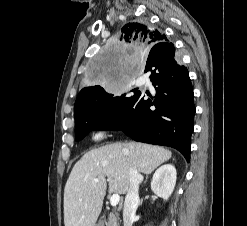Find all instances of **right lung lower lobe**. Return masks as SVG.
I'll use <instances>...</instances> for the list:
<instances>
[{
    "instance_id": "1",
    "label": "right lung lower lobe",
    "mask_w": 247,
    "mask_h": 226,
    "mask_svg": "<svg viewBox=\"0 0 247 226\" xmlns=\"http://www.w3.org/2000/svg\"><path fill=\"white\" fill-rule=\"evenodd\" d=\"M156 89L144 100L140 91L110 114L97 130H122L140 142L170 146L190 160V138L194 128V94L186 67L175 58V48L165 42L150 48L145 72Z\"/></svg>"
}]
</instances>
